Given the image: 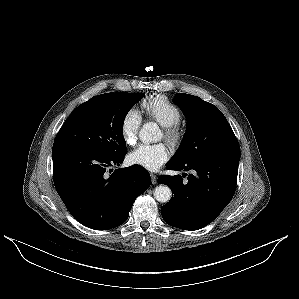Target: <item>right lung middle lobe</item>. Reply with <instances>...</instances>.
Here are the masks:
<instances>
[{
    "mask_svg": "<svg viewBox=\"0 0 299 299\" xmlns=\"http://www.w3.org/2000/svg\"><path fill=\"white\" fill-rule=\"evenodd\" d=\"M143 97V93L116 92L91 98L69 115L53 146L70 145L111 157L125 153L124 119Z\"/></svg>",
    "mask_w": 299,
    "mask_h": 299,
    "instance_id": "obj_1",
    "label": "right lung middle lobe"
}]
</instances>
